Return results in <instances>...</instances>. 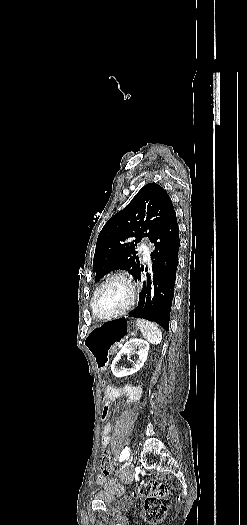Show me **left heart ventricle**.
<instances>
[{
    "label": "left heart ventricle",
    "mask_w": 247,
    "mask_h": 525,
    "mask_svg": "<svg viewBox=\"0 0 247 525\" xmlns=\"http://www.w3.org/2000/svg\"><path fill=\"white\" fill-rule=\"evenodd\" d=\"M130 297L129 284L121 279H114L105 283L99 290L96 306L107 312L122 306Z\"/></svg>",
    "instance_id": "1"
}]
</instances>
